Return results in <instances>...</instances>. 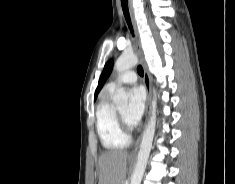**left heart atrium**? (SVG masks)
Returning a JSON list of instances; mask_svg holds the SVG:
<instances>
[{
	"label": "left heart atrium",
	"mask_w": 235,
	"mask_h": 184,
	"mask_svg": "<svg viewBox=\"0 0 235 184\" xmlns=\"http://www.w3.org/2000/svg\"><path fill=\"white\" fill-rule=\"evenodd\" d=\"M145 109V95L139 88L131 90V100L126 120L131 126H137Z\"/></svg>",
	"instance_id": "39dd6f15"
}]
</instances>
